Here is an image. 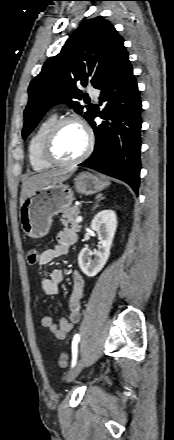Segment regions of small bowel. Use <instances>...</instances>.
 Listing matches in <instances>:
<instances>
[{"label":"small bowel","instance_id":"c3829d8e","mask_svg":"<svg viewBox=\"0 0 174 440\" xmlns=\"http://www.w3.org/2000/svg\"><path fill=\"white\" fill-rule=\"evenodd\" d=\"M76 241V234L63 229L57 235V244L41 252L39 255V265L44 267L54 259L64 256L68 253L69 247ZM73 288L68 301L69 316L60 318L55 323L50 316H44L41 319V326L48 329L57 339H64L73 330L76 323L81 318V299L84 293L85 281L82 274L75 270L72 273ZM63 281V272L61 269H53L48 275L41 279V297L53 296L58 294L59 285Z\"/></svg>","mask_w":174,"mask_h":440}]
</instances>
